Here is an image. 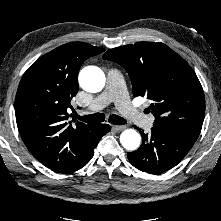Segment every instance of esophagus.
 <instances>
[{
	"instance_id": "obj_1",
	"label": "esophagus",
	"mask_w": 221,
	"mask_h": 221,
	"mask_svg": "<svg viewBox=\"0 0 221 221\" xmlns=\"http://www.w3.org/2000/svg\"><path fill=\"white\" fill-rule=\"evenodd\" d=\"M112 128L116 131H122V130L126 129V126L125 125H121V126L114 125Z\"/></svg>"
}]
</instances>
